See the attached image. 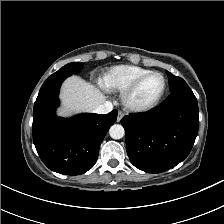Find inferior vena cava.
Masks as SVG:
<instances>
[{"label":"inferior vena cava","instance_id":"1","mask_svg":"<svg viewBox=\"0 0 224 224\" xmlns=\"http://www.w3.org/2000/svg\"><path fill=\"white\" fill-rule=\"evenodd\" d=\"M113 105L110 101H105L102 104L98 105L93 112L97 114H107L112 111Z\"/></svg>","mask_w":224,"mask_h":224}]
</instances>
